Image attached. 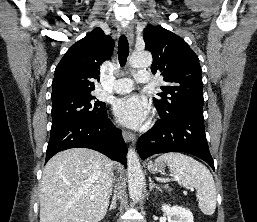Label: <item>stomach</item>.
Returning <instances> with one entry per match:
<instances>
[{
    "label": "stomach",
    "mask_w": 257,
    "mask_h": 222,
    "mask_svg": "<svg viewBox=\"0 0 257 222\" xmlns=\"http://www.w3.org/2000/svg\"><path fill=\"white\" fill-rule=\"evenodd\" d=\"M164 168H165V166H164V163H162V162L155 161V162L148 163V169L151 172H161L164 170Z\"/></svg>",
    "instance_id": "1"
}]
</instances>
